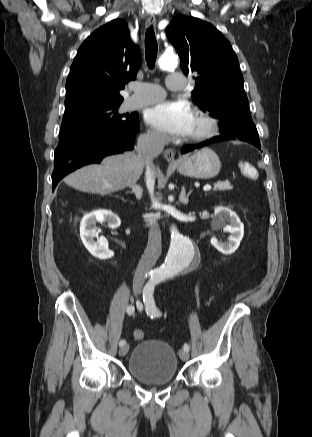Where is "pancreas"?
<instances>
[{"label":"pancreas","mask_w":312,"mask_h":437,"mask_svg":"<svg viewBox=\"0 0 312 437\" xmlns=\"http://www.w3.org/2000/svg\"><path fill=\"white\" fill-rule=\"evenodd\" d=\"M233 186L230 184V182L225 181V182H218L215 184L214 186V190H218V191H227V190H232Z\"/></svg>","instance_id":"pancreas-1"}]
</instances>
